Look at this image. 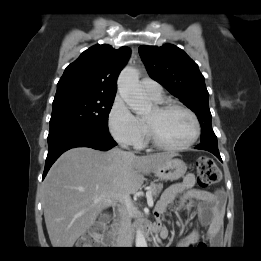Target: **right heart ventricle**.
Instances as JSON below:
<instances>
[{
    "instance_id": "right-heart-ventricle-1",
    "label": "right heart ventricle",
    "mask_w": 261,
    "mask_h": 261,
    "mask_svg": "<svg viewBox=\"0 0 261 261\" xmlns=\"http://www.w3.org/2000/svg\"><path fill=\"white\" fill-rule=\"evenodd\" d=\"M153 99V98H152ZM155 101H160L161 100V97L160 98H157V99H153Z\"/></svg>"
}]
</instances>
